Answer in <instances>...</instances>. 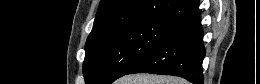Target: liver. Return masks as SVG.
<instances>
[{
  "mask_svg": "<svg viewBox=\"0 0 260 84\" xmlns=\"http://www.w3.org/2000/svg\"><path fill=\"white\" fill-rule=\"evenodd\" d=\"M121 84H186V81L177 77L137 74L125 76Z\"/></svg>",
  "mask_w": 260,
  "mask_h": 84,
  "instance_id": "6515ba94",
  "label": "liver"
}]
</instances>
